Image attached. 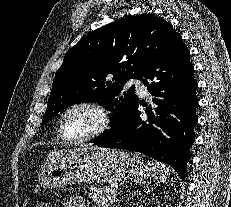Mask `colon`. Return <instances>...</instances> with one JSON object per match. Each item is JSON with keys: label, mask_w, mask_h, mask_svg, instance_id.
Segmentation results:
<instances>
[{"label": "colon", "mask_w": 231, "mask_h": 207, "mask_svg": "<svg viewBox=\"0 0 231 207\" xmlns=\"http://www.w3.org/2000/svg\"><path fill=\"white\" fill-rule=\"evenodd\" d=\"M37 207H50V206L47 205V204H40V205H38Z\"/></svg>", "instance_id": "colon-1"}]
</instances>
